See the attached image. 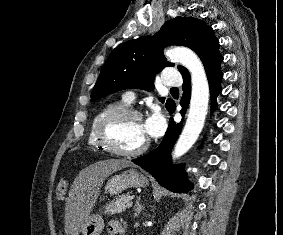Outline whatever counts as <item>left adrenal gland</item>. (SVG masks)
<instances>
[{
	"mask_svg": "<svg viewBox=\"0 0 283 235\" xmlns=\"http://www.w3.org/2000/svg\"><path fill=\"white\" fill-rule=\"evenodd\" d=\"M143 209V205L140 203V197L137 198L135 207H134V217H137Z\"/></svg>",
	"mask_w": 283,
	"mask_h": 235,
	"instance_id": "left-adrenal-gland-1",
	"label": "left adrenal gland"
}]
</instances>
